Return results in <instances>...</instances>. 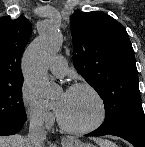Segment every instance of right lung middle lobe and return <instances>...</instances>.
I'll return each mask as SVG.
<instances>
[{"instance_id":"1","label":"right lung middle lobe","mask_w":145,"mask_h":147,"mask_svg":"<svg viewBox=\"0 0 145 147\" xmlns=\"http://www.w3.org/2000/svg\"><path fill=\"white\" fill-rule=\"evenodd\" d=\"M22 84L23 79L0 85V128L14 127L26 122Z\"/></svg>"}]
</instances>
